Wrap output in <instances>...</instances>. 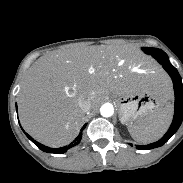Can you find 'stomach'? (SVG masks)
Returning <instances> with one entry per match:
<instances>
[{
    "mask_svg": "<svg viewBox=\"0 0 183 183\" xmlns=\"http://www.w3.org/2000/svg\"><path fill=\"white\" fill-rule=\"evenodd\" d=\"M120 121L124 124H137L154 113L164 101L154 90H139L128 94L115 95Z\"/></svg>",
    "mask_w": 183,
    "mask_h": 183,
    "instance_id": "stomach-1",
    "label": "stomach"
}]
</instances>
